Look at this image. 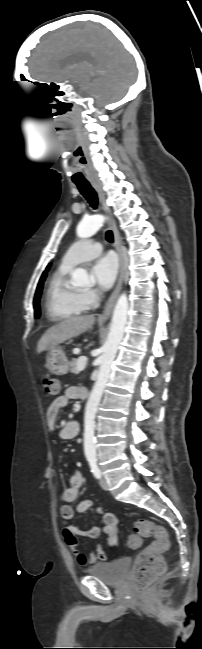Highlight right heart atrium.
Masks as SVG:
<instances>
[{
  "instance_id": "1",
  "label": "right heart atrium",
  "mask_w": 202,
  "mask_h": 649,
  "mask_svg": "<svg viewBox=\"0 0 202 649\" xmlns=\"http://www.w3.org/2000/svg\"><path fill=\"white\" fill-rule=\"evenodd\" d=\"M82 298L87 306H93L98 300V293L95 290H86L82 292Z\"/></svg>"
}]
</instances>
